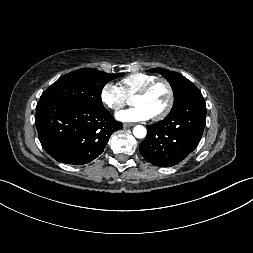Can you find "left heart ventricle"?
Here are the masks:
<instances>
[{
    "instance_id": "obj_1",
    "label": "left heart ventricle",
    "mask_w": 253,
    "mask_h": 253,
    "mask_svg": "<svg viewBox=\"0 0 253 253\" xmlns=\"http://www.w3.org/2000/svg\"><path fill=\"white\" fill-rule=\"evenodd\" d=\"M135 105H143L153 116L161 112L168 102V91L164 84H157L147 95L134 96Z\"/></svg>"
}]
</instances>
